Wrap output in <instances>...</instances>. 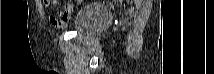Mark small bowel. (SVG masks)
Instances as JSON below:
<instances>
[{"label": "small bowel", "mask_w": 214, "mask_h": 74, "mask_svg": "<svg viewBox=\"0 0 214 74\" xmlns=\"http://www.w3.org/2000/svg\"><path fill=\"white\" fill-rule=\"evenodd\" d=\"M56 1H42V4L45 8H48L51 3H55ZM73 9L72 4H67L58 14V16L49 15L48 20L49 23L55 28H64L68 21L71 18V12Z\"/></svg>", "instance_id": "small-bowel-1"}]
</instances>
